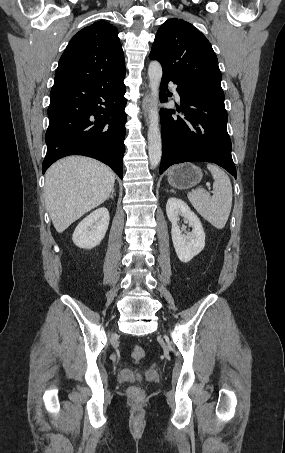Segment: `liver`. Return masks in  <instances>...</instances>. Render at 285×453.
Listing matches in <instances>:
<instances>
[{
	"label": "liver",
	"instance_id": "6515ba94",
	"mask_svg": "<svg viewBox=\"0 0 285 453\" xmlns=\"http://www.w3.org/2000/svg\"><path fill=\"white\" fill-rule=\"evenodd\" d=\"M115 173L105 164L83 156L54 163L45 175V202L53 225L62 233L110 195Z\"/></svg>",
	"mask_w": 285,
	"mask_h": 453
}]
</instances>
